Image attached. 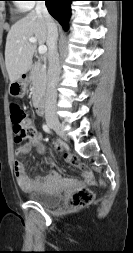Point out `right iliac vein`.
<instances>
[{
	"label": "right iliac vein",
	"mask_w": 133,
	"mask_h": 253,
	"mask_svg": "<svg viewBox=\"0 0 133 253\" xmlns=\"http://www.w3.org/2000/svg\"><path fill=\"white\" fill-rule=\"evenodd\" d=\"M48 125L60 136L65 138V132L62 128L61 123L57 119H49L48 120Z\"/></svg>",
	"instance_id": "63e3f726"
}]
</instances>
